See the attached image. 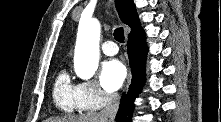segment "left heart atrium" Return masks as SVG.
<instances>
[{"mask_svg": "<svg viewBox=\"0 0 221 122\" xmlns=\"http://www.w3.org/2000/svg\"><path fill=\"white\" fill-rule=\"evenodd\" d=\"M126 75L125 66L119 60L111 59L102 66L100 83L107 91L114 92L121 87Z\"/></svg>", "mask_w": 221, "mask_h": 122, "instance_id": "39dd6f15", "label": "left heart atrium"}]
</instances>
